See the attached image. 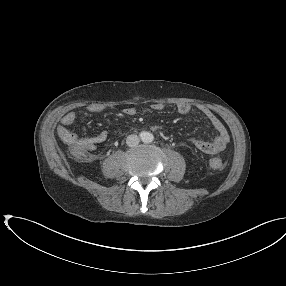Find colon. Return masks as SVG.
<instances>
[{"label": "colon", "instance_id": "obj_1", "mask_svg": "<svg viewBox=\"0 0 286 286\" xmlns=\"http://www.w3.org/2000/svg\"><path fill=\"white\" fill-rule=\"evenodd\" d=\"M65 142L74 156L82 160H87L89 158V155L78 145L76 137H69ZM209 166L213 169H221L223 167V162L220 159L212 158L209 161Z\"/></svg>", "mask_w": 286, "mask_h": 286}]
</instances>
